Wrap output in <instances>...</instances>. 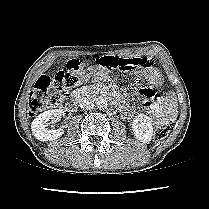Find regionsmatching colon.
Masks as SVG:
<instances>
[{
    "instance_id": "colon-1",
    "label": "colon",
    "mask_w": 209,
    "mask_h": 209,
    "mask_svg": "<svg viewBox=\"0 0 209 209\" xmlns=\"http://www.w3.org/2000/svg\"><path fill=\"white\" fill-rule=\"evenodd\" d=\"M152 61L146 58H132L128 56L108 55L98 61V67L107 71L119 69L130 71L138 67L150 68ZM83 67L77 60L67 63L66 69L58 71L53 77L41 76L36 81L30 93L28 104V114L33 117L46 107L53 106L58 101L57 93L68 91L74 88L80 81ZM170 132L168 123L158 127L156 135L158 138H165Z\"/></svg>"
}]
</instances>
